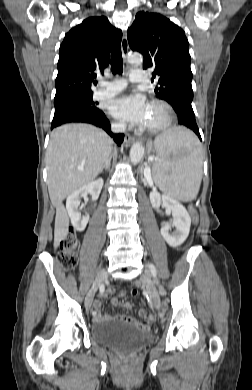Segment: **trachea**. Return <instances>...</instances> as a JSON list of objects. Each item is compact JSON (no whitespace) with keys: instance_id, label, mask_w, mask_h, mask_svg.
<instances>
[{"instance_id":"trachea-1","label":"trachea","mask_w":252,"mask_h":390,"mask_svg":"<svg viewBox=\"0 0 252 390\" xmlns=\"http://www.w3.org/2000/svg\"><path fill=\"white\" fill-rule=\"evenodd\" d=\"M122 53L121 49L118 48L114 53L111 55V70L113 74L122 73Z\"/></svg>"}]
</instances>
